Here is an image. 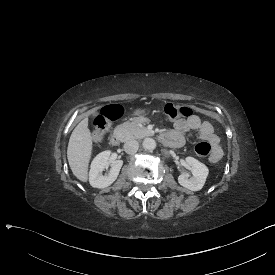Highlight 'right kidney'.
<instances>
[{
    "label": "right kidney",
    "instance_id": "right-kidney-1",
    "mask_svg": "<svg viewBox=\"0 0 275 275\" xmlns=\"http://www.w3.org/2000/svg\"><path fill=\"white\" fill-rule=\"evenodd\" d=\"M111 151L99 153L92 161L89 172V183L94 188H106L110 186L118 177L123 165L122 160L111 162V169L108 175H102V171L109 166Z\"/></svg>",
    "mask_w": 275,
    "mask_h": 275
}]
</instances>
